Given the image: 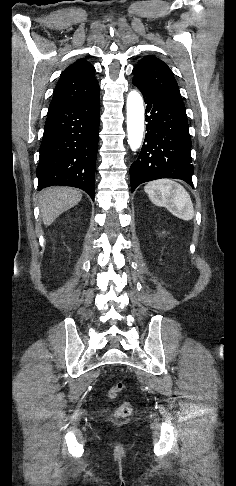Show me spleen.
<instances>
[{
    "instance_id": "3e777b00",
    "label": "spleen",
    "mask_w": 236,
    "mask_h": 486,
    "mask_svg": "<svg viewBox=\"0 0 236 486\" xmlns=\"http://www.w3.org/2000/svg\"><path fill=\"white\" fill-rule=\"evenodd\" d=\"M152 203L166 207L173 215L183 220L194 217V208L189 193L177 182L161 179L144 187Z\"/></svg>"
}]
</instances>
